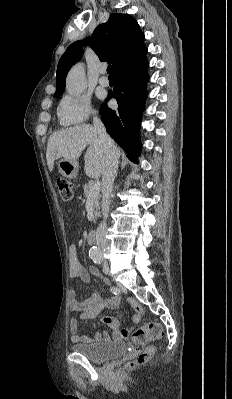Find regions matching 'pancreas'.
<instances>
[{"label":"pancreas","instance_id":"1","mask_svg":"<svg viewBox=\"0 0 232 399\" xmlns=\"http://www.w3.org/2000/svg\"><path fill=\"white\" fill-rule=\"evenodd\" d=\"M93 184H85L84 186V194L87 198V200H93L94 201V211H95V217H100V200H101V194L98 192V194H91V188Z\"/></svg>","mask_w":232,"mask_h":399}]
</instances>
